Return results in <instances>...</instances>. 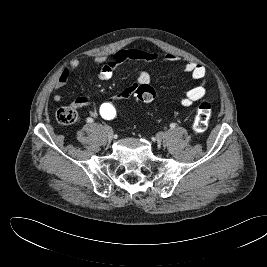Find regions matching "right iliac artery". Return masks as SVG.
I'll return each mask as SVG.
<instances>
[{
	"label": "right iliac artery",
	"mask_w": 267,
	"mask_h": 267,
	"mask_svg": "<svg viewBox=\"0 0 267 267\" xmlns=\"http://www.w3.org/2000/svg\"><path fill=\"white\" fill-rule=\"evenodd\" d=\"M88 121H89V122H92V121H93V119H91V118H88Z\"/></svg>",
	"instance_id": "obj_1"
}]
</instances>
